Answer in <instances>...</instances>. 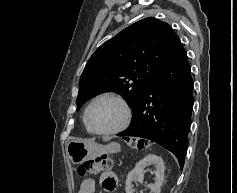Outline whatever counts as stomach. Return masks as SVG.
<instances>
[{"mask_svg": "<svg viewBox=\"0 0 237 193\" xmlns=\"http://www.w3.org/2000/svg\"><path fill=\"white\" fill-rule=\"evenodd\" d=\"M120 150L121 146L117 142H112L108 145H100L95 142L82 140H71L66 148L67 155L73 164H81L103 153L113 154Z\"/></svg>", "mask_w": 237, "mask_h": 193, "instance_id": "obj_1", "label": "stomach"}]
</instances>
